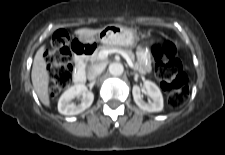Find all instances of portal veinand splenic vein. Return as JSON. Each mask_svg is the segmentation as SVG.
<instances>
[{
    "mask_svg": "<svg viewBox=\"0 0 225 155\" xmlns=\"http://www.w3.org/2000/svg\"><path fill=\"white\" fill-rule=\"evenodd\" d=\"M113 53H118L120 54L128 63V65L133 68V62L130 59V57L128 56V54L126 52H124L123 50L120 49H108V50H103L101 52H99L98 56L101 60H104L108 57L109 54H113Z\"/></svg>",
    "mask_w": 225,
    "mask_h": 155,
    "instance_id": "1",
    "label": "portal vein and splenic vein"
}]
</instances>
